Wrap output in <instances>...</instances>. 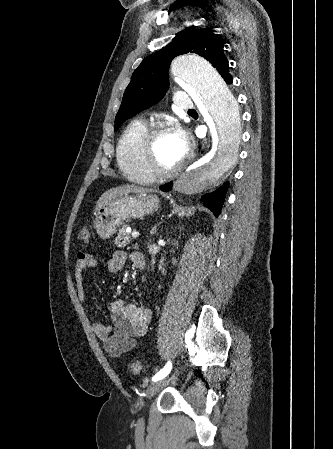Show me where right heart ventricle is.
<instances>
[{
  "label": "right heart ventricle",
  "instance_id": "obj_1",
  "mask_svg": "<svg viewBox=\"0 0 333 449\" xmlns=\"http://www.w3.org/2000/svg\"><path fill=\"white\" fill-rule=\"evenodd\" d=\"M148 128L143 120L130 122L121 134L116 147V160L123 175L130 181L148 184L153 179L144 170L141 160V141Z\"/></svg>",
  "mask_w": 333,
  "mask_h": 449
}]
</instances>
